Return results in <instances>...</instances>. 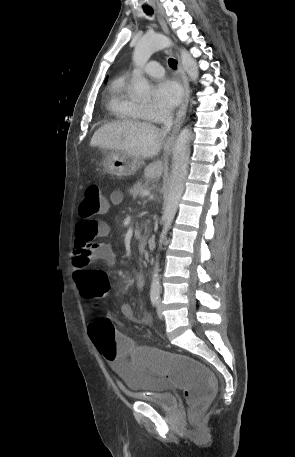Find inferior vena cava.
Returning <instances> with one entry per match:
<instances>
[{
    "label": "inferior vena cava",
    "instance_id": "inferior-vena-cava-1",
    "mask_svg": "<svg viewBox=\"0 0 295 457\" xmlns=\"http://www.w3.org/2000/svg\"><path fill=\"white\" fill-rule=\"evenodd\" d=\"M161 121L165 126V131H169L173 125V114L170 109H164L162 111Z\"/></svg>",
    "mask_w": 295,
    "mask_h": 457
}]
</instances>
